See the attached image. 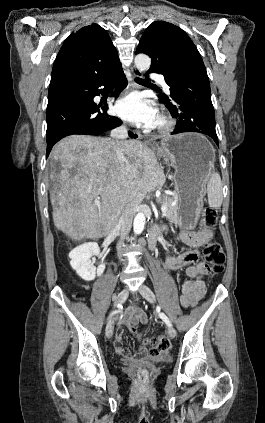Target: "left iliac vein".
Wrapping results in <instances>:
<instances>
[{
  "label": "left iliac vein",
  "instance_id": "obj_1",
  "mask_svg": "<svg viewBox=\"0 0 265 423\" xmlns=\"http://www.w3.org/2000/svg\"><path fill=\"white\" fill-rule=\"evenodd\" d=\"M140 294L150 303H155L156 298L152 290L146 285H142L139 289ZM168 335L170 338H175L176 330L173 327L168 328Z\"/></svg>",
  "mask_w": 265,
  "mask_h": 423
}]
</instances>
